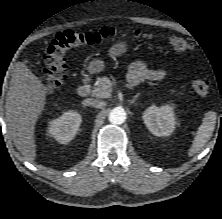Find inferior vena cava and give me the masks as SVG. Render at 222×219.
Here are the masks:
<instances>
[{
	"instance_id": "1",
	"label": "inferior vena cava",
	"mask_w": 222,
	"mask_h": 219,
	"mask_svg": "<svg viewBox=\"0 0 222 219\" xmlns=\"http://www.w3.org/2000/svg\"><path fill=\"white\" fill-rule=\"evenodd\" d=\"M87 104L94 108H102L105 105V102L98 99H89Z\"/></svg>"
}]
</instances>
